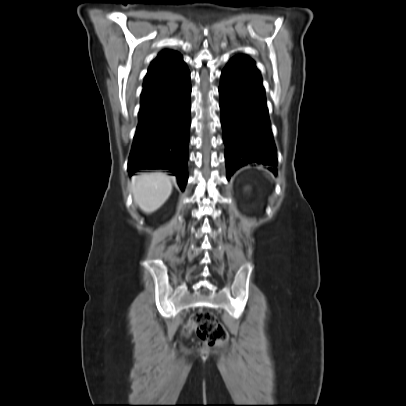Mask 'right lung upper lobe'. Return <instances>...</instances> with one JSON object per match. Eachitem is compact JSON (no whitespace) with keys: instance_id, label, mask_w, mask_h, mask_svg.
I'll use <instances>...</instances> for the list:
<instances>
[{"instance_id":"1","label":"right lung upper lobe","mask_w":406,"mask_h":406,"mask_svg":"<svg viewBox=\"0 0 406 406\" xmlns=\"http://www.w3.org/2000/svg\"><path fill=\"white\" fill-rule=\"evenodd\" d=\"M184 65L183 58L178 52L172 50L162 51L151 63L144 80L143 89L153 87L167 80Z\"/></svg>"}]
</instances>
